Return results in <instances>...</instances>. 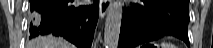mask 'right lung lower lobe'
<instances>
[{
  "label": "right lung lower lobe",
  "instance_id": "98d812e1",
  "mask_svg": "<svg viewBox=\"0 0 213 48\" xmlns=\"http://www.w3.org/2000/svg\"><path fill=\"white\" fill-rule=\"evenodd\" d=\"M30 38L53 34L63 36L78 48H91L99 17V0L83 6L74 0H29Z\"/></svg>",
  "mask_w": 213,
  "mask_h": 48
}]
</instances>
